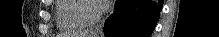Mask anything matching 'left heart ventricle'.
Wrapping results in <instances>:
<instances>
[{
	"label": "left heart ventricle",
	"mask_w": 219,
	"mask_h": 37,
	"mask_svg": "<svg viewBox=\"0 0 219 37\" xmlns=\"http://www.w3.org/2000/svg\"><path fill=\"white\" fill-rule=\"evenodd\" d=\"M97 10H98V6H94L93 11H97Z\"/></svg>",
	"instance_id": "left-heart-ventricle-1"
}]
</instances>
